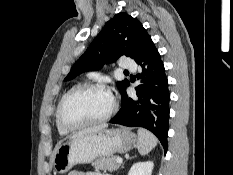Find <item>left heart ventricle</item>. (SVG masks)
Returning a JSON list of instances; mask_svg holds the SVG:
<instances>
[{
  "mask_svg": "<svg viewBox=\"0 0 233 175\" xmlns=\"http://www.w3.org/2000/svg\"><path fill=\"white\" fill-rule=\"evenodd\" d=\"M111 106V97L107 91L92 89L84 90L66 103L64 118L71 124H79L103 116Z\"/></svg>",
  "mask_w": 233,
  "mask_h": 175,
  "instance_id": "left-heart-ventricle-1",
  "label": "left heart ventricle"
}]
</instances>
